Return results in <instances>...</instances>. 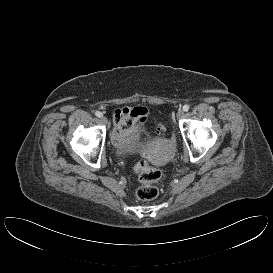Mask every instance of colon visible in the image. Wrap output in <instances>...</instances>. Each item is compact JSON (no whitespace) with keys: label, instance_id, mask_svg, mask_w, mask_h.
Returning <instances> with one entry per match:
<instances>
[{"label":"colon","instance_id":"obj_1","mask_svg":"<svg viewBox=\"0 0 273 273\" xmlns=\"http://www.w3.org/2000/svg\"><path fill=\"white\" fill-rule=\"evenodd\" d=\"M161 129L162 126L159 125L157 132ZM135 171L138 174L140 182L137 197L143 201L154 199L158 195V189L155 183L161 178V171L149 165L145 160H141L135 165Z\"/></svg>","mask_w":273,"mask_h":273}]
</instances>
